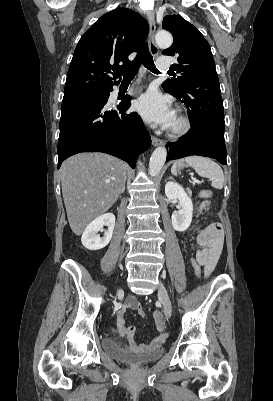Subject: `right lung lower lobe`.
<instances>
[{
	"instance_id": "obj_1",
	"label": "right lung lower lobe",
	"mask_w": 273,
	"mask_h": 401,
	"mask_svg": "<svg viewBox=\"0 0 273 401\" xmlns=\"http://www.w3.org/2000/svg\"><path fill=\"white\" fill-rule=\"evenodd\" d=\"M108 95L102 100L83 101L62 108L58 139V168L71 155L80 152H104L126 161L132 168L139 153L151 144L141 117L125 114L130 98L109 106Z\"/></svg>"
}]
</instances>
